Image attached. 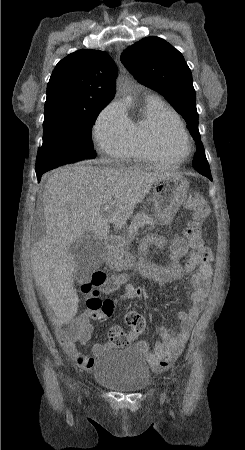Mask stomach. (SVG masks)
I'll list each match as a JSON object with an SVG mask.
<instances>
[{
	"instance_id": "obj_1",
	"label": "stomach",
	"mask_w": 245,
	"mask_h": 450,
	"mask_svg": "<svg viewBox=\"0 0 245 450\" xmlns=\"http://www.w3.org/2000/svg\"><path fill=\"white\" fill-rule=\"evenodd\" d=\"M189 190V183L183 177H163L153 185V205L155 216L162 224H170L179 208L184 204ZM106 261L116 270H125L134 265V257L126 245L109 250Z\"/></svg>"
}]
</instances>
